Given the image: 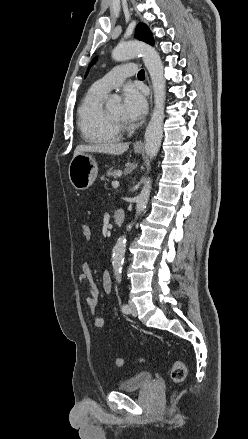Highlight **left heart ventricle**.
I'll list each match as a JSON object with an SVG mask.
<instances>
[{"mask_svg": "<svg viewBox=\"0 0 248 439\" xmlns=\"http://www.w3.org/2000/svg\"><path fill=\"white\" fill-rule=\"evenodd\" d=\"M106 112L116 120L127 121L123 116L122 105L119 102L107 107Z\"/></svg>", "mask_w": 248, "mask_h": 439, "instance_id": "1", "label": "left heart ventricle"}]
</instances>
